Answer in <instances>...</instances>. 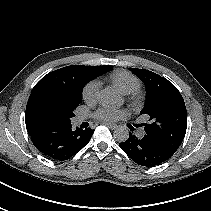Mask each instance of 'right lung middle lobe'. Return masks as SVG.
Masks as SVG:
<instances>
[{
	"label": "right lung middle lobe",
	"mask_w": 211,
	"mask_h": 211,
	"mask_svg": "<svg viewBox=\"0 0 211 211\" xmlns=\"http://www.w3.org/2000/svg\"><path fill=\"white\" fill-rule=\"evenodd\" d=\"M81 83L71 94L59 98H45L39 102L36 109V119L39 129L71 124L74 110L82 100Z\"/></svg>",
	"instance_id": "1"
}]
</instances>
